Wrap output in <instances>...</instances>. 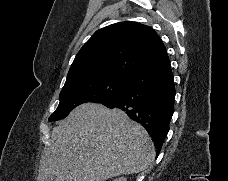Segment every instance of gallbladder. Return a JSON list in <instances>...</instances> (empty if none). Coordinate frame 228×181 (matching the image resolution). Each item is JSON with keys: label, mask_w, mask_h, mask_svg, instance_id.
I'll return each instance as SVG.
<instances>
[{"label": "gallbladder", "mask_w": 228, "mask_h": 181, "mask_svg": "<svg viewBox=\"0 0 228 181\" xmlns=\"http://www.w3.org/2000/svg\"><path fill=\"white\" fill-rule=\"evenodd\" d=\"M45 181H55L54 175H50V177H47V179H45Z\"/></svg>", "instance_id": "gallbladder-1"}]
</instances>
